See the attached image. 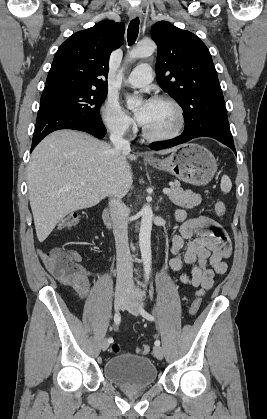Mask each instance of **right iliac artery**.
Listing matches in <instances>:
<instances>
[{"label": "right iliac artery", "instance_id": "82829eb1", "mask_svg": "<svg viewBox=\"0 0 267 419\" xmlns=\"http://www.w3.org/2000/svg\"><path fill=\"white\" fill-rule=\"evenodd\" d=\"M120 320H121L120 313H119V312H117V313L115 314V316H114V323H115L116 325H118V324L120 323ZM108 342H109V343L113 342V338H108Z\"/></svg>", "mask_w": 267, "mask_h": 419}]
</instances>
